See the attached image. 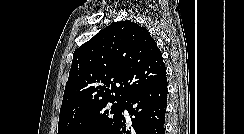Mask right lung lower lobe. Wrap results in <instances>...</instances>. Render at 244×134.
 <instances>
[{"mask_svg": "<svg viewBox=\"0 0 244 134\" xmlns=\"http://www.w3.org/2000/svg\"><path fill=\"white\" fill-rule=\"evenodd\" d=\"M167 78L143 88L124 100L120 116L104 134H165ZM127 110L131 126L123 115Z\"/></svg>", "mask_w": 244, "mask_h": 134, "instance_id": "obj_1", "label": "right lung lower lobe"}]
</instances>
